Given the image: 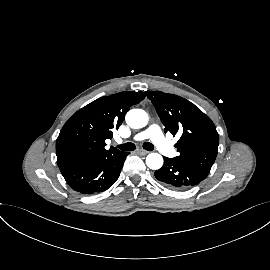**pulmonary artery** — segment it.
<instances>
[{
	"mask_svg": "<svg viewBox=\"0 0 270 270\" xmlns=\"http://www.w3.org/2000/svg\"><path fill=\"white\" fill-rule=\"evenodd\" d=\"M133 139L135 141L150 139L162 154L169 157L175 155L174 147L165 139L160 127L156 124L150 125L146 130L137 134Z\"/></svg>",
	"mask_w": 270,
	"mask_h": 270,
	"instance_id": "1",
	"label": "pulmonary artery"
}]
</instances>
